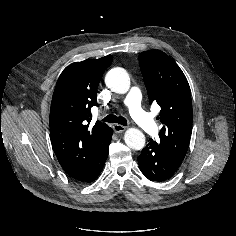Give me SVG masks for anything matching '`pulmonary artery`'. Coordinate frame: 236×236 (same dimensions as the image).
I'll list each match as a JSON object with an SVG mask.
<instances>
[{
	"label": "pulmonary artery",
	"instance_id": "obj_1",
	"mask_svg": "<svg viewBox=\"0 0 236 236\" xmlns=\"http://www.w3.org/2000/svg\"><path fill=\"white\" fill-rule=\"evenodd\" d=\"M125 104L132 118L144 131L150 134L157 132L158 127L156 123L141 107V92L137 87H132L128 90Z\"/></svg>",
	"mask_w": 236,
	"mask_h": 236
}]
</instances>
